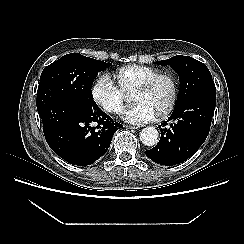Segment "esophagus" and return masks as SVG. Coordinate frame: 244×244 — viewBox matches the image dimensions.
Listing matches in <instances>:
<instances>
[{"instance_id": "34e87169", "label": "esophagus", "mask_w": 244, "mask_h": 244, "mask_svg": "<svg viewBox=\"0 0 244 244\" xmlns=\"http://www.w3.org/2000/svg\"><path fill=\"white\" fill-rule=\"evenodd\" d=\"M124 127L125 128H128V129H132V130L138 129V127H136V126H130V125H125Z\"/></svg>"}]
</instances>
